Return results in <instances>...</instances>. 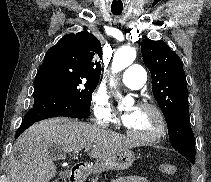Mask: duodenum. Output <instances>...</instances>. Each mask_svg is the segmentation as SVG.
<instances>
[{
	"label": "duodenum",
	"instance_id": "obj_1",
	"mask_svg": "<svg viewBox=\"0 0 211 182\" xmlns=\"http://www.w3.org/2000/svg\"><path fill=\"white\" fill-rule=\"evenodd\" d=\"M82 168L83 166L79 165L72 169L70 178H69L70 182H82V178H83Z\"/></svg>",
	"mask_w": 211,
	"mask_h": 182
}]
</instances>
